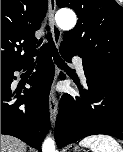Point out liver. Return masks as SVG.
Returning a JSON list of instances; mask_svg holds the SVG:
<instances>
[{
  "label": "liver",
  "instance_id": "liver-1",
  "mask_svg": "<svg viewBox=\"0 0 123 152\" xmlns=\"http://www.w3.org/2000/svg\"><path fill=\"white\" fill-rule=\"evenodd\" d=\"M26 150V145L21 140L9 135H1V152H26Z\"/></svg>",
  "mask_w": 123,
  "mask_h": 152
}]
</instances>
